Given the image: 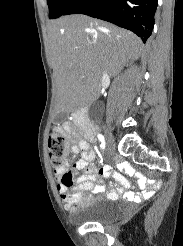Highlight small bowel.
<instances>
[{
    "label": "small bowel",
    "instance_id": "small-bowel-1",
    "mask_svg": "<svg viewBox=\"0 0 183 246\" xmlns=\"http://www.w3.org/2000/svg\"><path fill=\"white\" fill-rule=\"evenodd\" d=\"M90 140V139H89ZM94 140V139H92ZM72 156L81 154V158L74 164L66 163L64 166L55 169L54 174L56 177V186L60 197L67 209L74 210V204L84 203L86 200L82 199L83 192H105L109 199H118L124 197L127 200H142L143 198H152L154 192L153 185L145 177L136 174L135 165H117V172H113L109 165L96 167L92 164L95 158V153L91 150L88 140L80 139L76 144L69 148ZM84 170L85 173H74V171ZM122 170L125 174H130V179H138L137 189H147L141 194H131L126 192L130 187L129 181L121 175ZM72 173H67V172ZM97 174L104 178H113L116 187L106 188L102 182L95 185ZM64 178H74L71 184L65 182Z\"/></svg>",
    "mask_w": 183,
    "mask_h": 246
}]
</instances>
